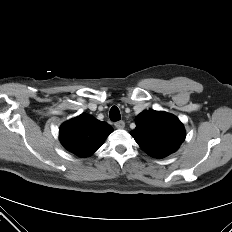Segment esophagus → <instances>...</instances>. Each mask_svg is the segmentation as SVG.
Masks as SVG:
<instances>
[{"instance_id": "1", "label": "esophagus", "mask_w": 232, "mask_h": 232, "mask_svg": "<svg viewBox=\"0 0 232 232\" xmlns=\"http://www.w3.org/2000/svg\"><path fill=\"white\" fill-rule=\"evenodd\" d=\"M115 127L117 128V129H123L124 127H125V122L124 121H117V122H115Z\"/></svg>"}]
</instances>
